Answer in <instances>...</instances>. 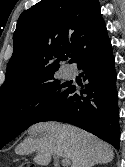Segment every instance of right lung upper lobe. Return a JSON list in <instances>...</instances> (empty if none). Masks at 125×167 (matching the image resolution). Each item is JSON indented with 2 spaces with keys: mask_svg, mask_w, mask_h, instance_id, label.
Segmentation results:
<instances>
[{
  "mask_svg": "<svg viewBox=\"0 0 125 167\" xmlns=\"http://www.w3.org/2000/svg\"><path fill=\"white\" fill-rule=\"evenodd\" d=\"M106 29L98 0H41L19 17L13 55L0 100L17 96L54 77L64 54L77 62L81 51Z\"/></svg>",
  "mask_w": 125,
  "mask_h": 167,
  "instance_id": "obj_1",
  "label": "right lung upper lobe"
}]
</instances>
